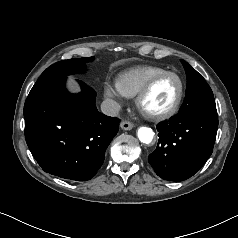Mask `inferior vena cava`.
Returning <instances> with one entry per match:
<instances>
[{
    "instance_id": "inferior-vena-cava-1",
    "label": "inferior vena cava",
    "mask_w": 238,
    "mask_h": 238,
    "mask_svg": "<svg viewBox=\"0 0 238 238\" xmlns=\"http://www.w3.org/2000/svg\"><path fill=\"white\" fill-rule=\"evenodd\" d=\"M121 106L112 99H105L101 104V111L107 116H116L120 112Z\"/></svg>"
}]
</instances>
